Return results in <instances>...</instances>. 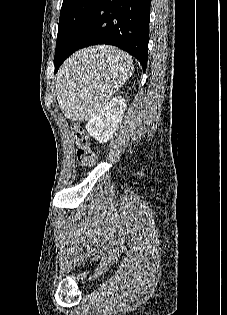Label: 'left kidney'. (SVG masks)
Returning a JSON list of instances; mask_svg holds the SVG:
<instances>
[{"instance_id": "obj_1", "label": "left kidney", "mask_w": 227, "mask_h": 315, "mask_svg": "<svg viewBox=\"0 0 227 315\" xmlns=\"http://www.w3.org/2000/svg\"><path fill=\"white\" fill-rule=\"evenodd\" d=\"M124 97L117 96L101 107L86 124L87 132L99 143H106L113 136L125 111Z\"/></svg>"}]
</instances>
